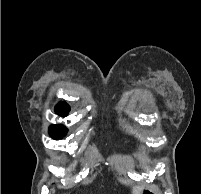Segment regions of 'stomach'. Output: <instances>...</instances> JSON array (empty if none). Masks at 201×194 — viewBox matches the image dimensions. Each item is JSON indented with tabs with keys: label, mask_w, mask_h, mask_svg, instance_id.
Instances as JSON below:
<instances>
[{
	"label": "stomach",
	"mask_w": 201,
	"mask_h": 194,
	"mask_svg": "<svg viewBox=\"0 0 201 194\" xmlns=\"http://www.w3.org/2000/svg\"><path fill=\"white\" fill-rule=\"evenodd\" d=\"M140 194H156L155 189L144 187Z\"/></svg>",
	"instance_id": "stomach-1"
}]
</instances>
